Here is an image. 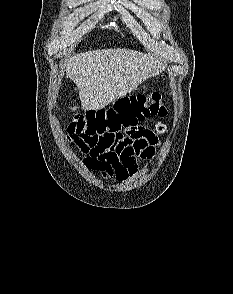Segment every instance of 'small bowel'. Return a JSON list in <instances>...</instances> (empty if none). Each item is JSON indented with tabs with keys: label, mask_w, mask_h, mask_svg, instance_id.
Returning <instances> with one entry per match:
<instances>
[{
	"label": "small bowel",
	"mask_w": 233,
	"mask_h": 294,
	"mask_svg": "<svg viewBox=\"0 0 233 294\" xmlns=\"http://www.w3.org/2000/svg\"><path fill=\"white\" fill-rule=\"evenodd\" d=\"M132 131L138 132H125V137L134 138L123 149H106L103 154L87 156L83 164L89 170L99 172L104 178L114 177L123 181L134 175L137 171V158L152 157L158 137L147 126H132ZM111 154L119 155L112 157Z\"/></svg>",
	"instance_id": "1"
}]
</instances>
